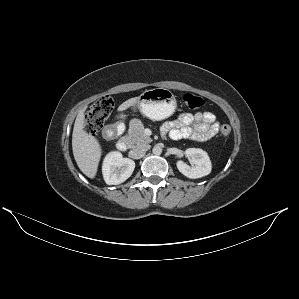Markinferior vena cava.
I'll use <instances>...</instances> for the list:
<instances>
[{
  "instance_id": "inferior-vena-cava-1",
  "label": "inferior vena cava",
  "mask_w": 299,
  "mask_h": 299,
  "mask_svg": "<svg viewBox=\"0 0 299 299\" xmlns=\"http://www.w3.org/2000/svg\"><path fill=\"white\" fill-rule=\"evenodd\" d=\"M149 148L150 146L148 144H138L133 148L132 153L134 155H142L146 153Z\"/></svg>"
}]
</instances>
